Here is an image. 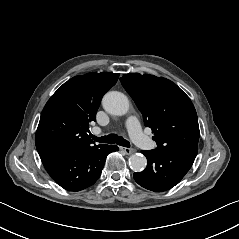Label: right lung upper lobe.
Wrapping results in <instances>:
<instances>
[{
    "mask_svg": "<svg viewBox=\"0 0 239 239\" xmlns=\"http://www.w3.org/2000/svg\"><path fill=\"white\" fill-rule=\"evenodd\" d=\"M118 77L108 72L88 73L64 83L41 113L35 136L39 155L93 145L87 134L89 122L95 121L103 95Z\"/></svg>",
    "mask_w": 239,
    "mask_h": 239,
    "instance_id": "cb5924a9",
    "label": "right lung upper lobe"
}]
</instances>
